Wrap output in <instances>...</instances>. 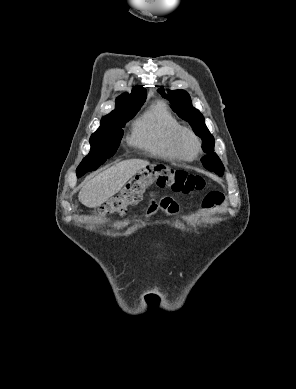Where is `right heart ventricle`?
<instances>
[{"mask_svg": "<svg viewBox=\"0 0 296 389\" xmlns=\"http://www.w3.org/2000/svg\"><path fill=\"white\" fill-rule=\"evenodd\" d=\"M181 125L163 102H157L132 124L129 143L152 157L168 161L179 158L173 151L172 138Z\"/></svg>", "mask_w": 296, "mask_h": 389, "instance_id": "1", "label": "right heart ventricle"}]
</instances>
